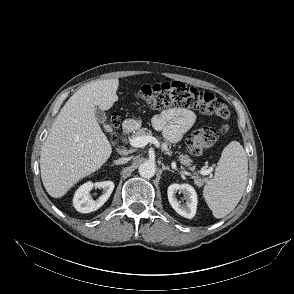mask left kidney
Here are the masks:
<instances>
[{"label": "left kidney", "mask_w": 294, "mask_h": 294, "mask_svg": "<svg viewBox=\"0 0 294 294\" xmlns=\"http://www.w3.org/2000/svg\"><path fill=\"white\" fill-rule=\"evenodd\" d=\"M182 191L186 200V205H182L177 201V191ZM168 200L172 208L181 216L191 219L196 214L197 193L189 184H171L167 189Z\"/></svg>", "instance_id": "left-kidney-1"}]
</instances>
